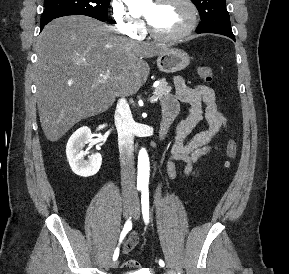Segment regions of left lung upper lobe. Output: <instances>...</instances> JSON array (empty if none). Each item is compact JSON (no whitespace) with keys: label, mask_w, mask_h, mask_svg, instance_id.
Returning <instances> with one entry per match:
<instances>
[{"label":"left lung upper lobe","mask_w":289,"mask_h":274,"mask_svg":"<svg viewBox=\"0 0 289 274\" xmlns=\"http://www.w3.org/2000/svg\"><path fill=\"white\" fill-rule=\"evenodd\" d=\"M201 17L197 33L233 34L225 0H192Z\"/></svg>","instance_id":"1"}]
</instances>
